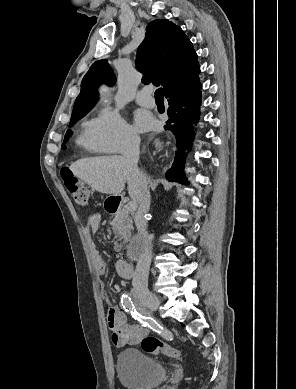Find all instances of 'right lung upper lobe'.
<instances>
[{"mask_svg":"<svg viewBox=\"0 0 296 389\" xmlns=\"http://www.w3.org/2000/svg\"><path fill=\"white\" fill-rule=\"evenodd\" d=\"M137 69L144 73V84L159 83L166 93L171 87L199 84L200 66L193 45L182 29L168 20H154L146 28L137 51ZM115 75L106 60L92 64L81 82L73 112L93 107L98 100L97 86L114 85ZM72 112V113H73Z\"/></svg>","mask_w":296,"mask_h":389,"instance_id":"right-lung-upper-lobe-1","label":"right lung upper lobe"}]
</instances>
